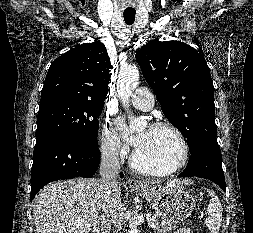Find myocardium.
<instances>
[{
  "label": "myocardium",
  "instance_id": "f54148a6",
  "mask_svg": "<svg viewBox=\"0 0 253 233\" xmlns=\"http://www.w3.org/2000/svg\"><path fill=\"white\" fill-rule=\"evenodd\" d=\"M150 128L155 129V130H168L176 136V138L178 139V141L181 145V149H182L180 161L170 169L156 170V169H153V168H150V167H147V166L141 164L137 159L136 150H134L131 155V159H130L131 166L135 170H137L138 172H140L142 174L150 175V176H157V177L169 176V175H172V174L176 173L177 171L181 170L182 168H184L186 166V164L188 163V160L190 157V148H189V144L187 142V139L184 136V134L182 133V131L178 127H176L175 125H173L169 122H156V123L152 124L150 126Z\"/></svg>",
  "mask_w": 253,
  "mask_h": 233
}]
</instances>
